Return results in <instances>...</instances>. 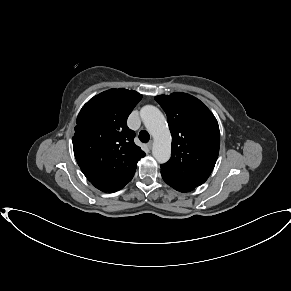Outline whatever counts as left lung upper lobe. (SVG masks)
Here are the masks:
<instances>
[{
    "instance_id": "obj_1",
    "label": "left lung upper lobe",
    "mask_w": 291,
    "mask_h": 291,
    "mask_svg": "<svg viewBox=\"0 0 291 291\" xmlns=\"http://www.w3.org/2000/svg\"><path fill=\"white\" fill-rule=\"evenodd\" d=\"M165 111L172 135L170 160L161 170L194 186L210 176L220 146L216 118L197 98L186 93L156 96Z\"/></svg>"
}]
</instances>
